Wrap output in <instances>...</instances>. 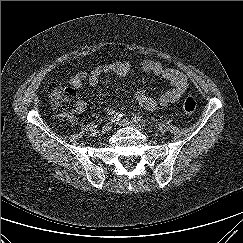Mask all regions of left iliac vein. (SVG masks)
<instances>
[{"label": "left iliac vein", "mask_w": 243, "mask_h": 243, "mask_svg": "<svg viewBox=\"0 0 243 243\" xmlns=\"http://www.w3.org/2000/svg\"><path fill=\"white\" fill-rule=\"evenodd\" d=\"M119 125H121V126H130V127H133V128H135V129H137L138 131L143 132V133H145V134L150 132V131H147V129H145V128L143 127V125H141V124H139V123H137V122H134V121L126 120V119L120 121V122H119Z\"/></svg>", "instance_id": "left-iliac-vein-1"}]
</instances>
